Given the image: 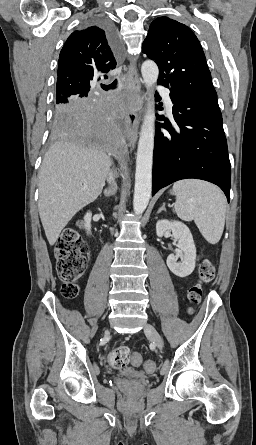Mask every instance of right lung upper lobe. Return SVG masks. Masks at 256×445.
I'll return each mask as SVG.
<instances>
[{"label":"right lung upper lobe","mask_w":256,"mask_h":445,"mask_svg":"<svg viewBox=\"0 0 256 445\" xmlns=\"http://www.w3.org/2000/svg\"><path fill=\"white\" fill-rule=\"evenodd\" d=\"M117 49L100 25L74 31L65 42L58 62L56 99L88 94L92 81L116 67Z\"/></svg>","instance_id":"cb5924a9"}]
</instances>
